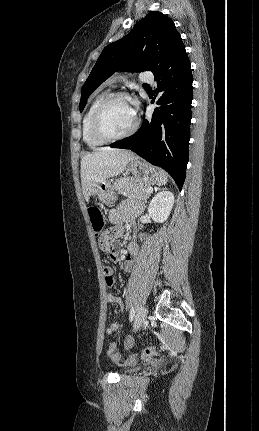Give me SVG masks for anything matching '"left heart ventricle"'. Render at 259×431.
Wrapping results in <instances>:
<instances>
[{"label":"left heart ventricle","mask_w":259,"mask_h":431,"mask_svg":"<svg viewBox=\"0 0 259 431\" xmlns=\"http://www.w3.org/2000/svg\"><path fill=\"white\" fill-rule=\"evenodd\" d=\"M135 121V111L127 99L114 101L105 111L102 128L108 135H119L128 131Z\"/></svg>","instance_id":"left-heart-ventricle-1"}]
</instances>
